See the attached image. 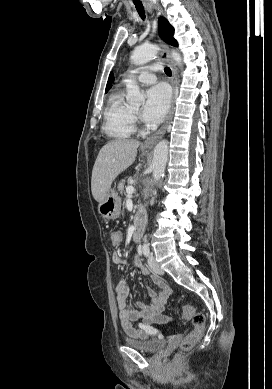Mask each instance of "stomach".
Wrapping results in <instances>:
<instances>
[{
    "label": "stomach",
    "mask_w": 272,
    "mask_h": 389,
    "mask_svg": "<svg viewBox=\"0 0 272 389\" xmlns=\"http://www.w3.org/2000/svg\"><path fill=\"white\" fill-rule=\"evenodd\" d=\"M121 211V199L114 189H110L106 198L99 203L98 212L105 219H116Z\"/></svg>",
    "instance_id": "obj_1"
}]
</instances>
